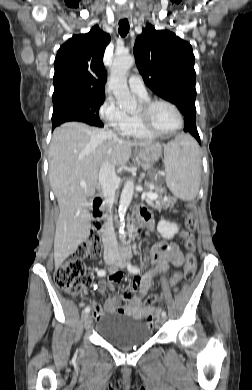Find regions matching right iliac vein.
Wrapping results in <instances>:
<instances>
[{
    "label": "right iliac vein",
    "instance_id": "1",
    "mask_svg": "<svg viewBox=\"0 0 252 390\" xmlns=\"http://www.w3.org/2000/svg\"><path fill=\"white\" fill-rule=\"evenodd\" d=\"M116 261V256H108L106 259H105V262L108 264V265H111L113 264L114 262ZM82 319L84 321V325L86 327H88L91 323V317L88 315V314H83L82 315Z\"/></svg>",
    "mask_w": 252,
    "mask_h": 390
}]
</instances>
